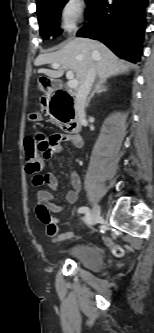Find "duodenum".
Returning <instances> with one entry per match:
<instances>
[{
  "label": "duodenum",
  "mask_w": 154,
  "mask_h": 333,
  "mask_svg": "<svg viewBox=\"0 0 154 333\" xmlns=\"http://www.w3.org/2000/svg\"><path fill=\"white\" fill-rule=\"evenodd\" d=\"M48 89H49L50 93H48L47 95L52 96V97H55L59 92L64 91L61 83L58 81L49 82ZM64 92H66V91H64ZM73 104H74V98L70 95L69 103L66 106L60 104L59 108L52 107L51 114L55 118L59 117V116H62L64 118H69L68 127L71 128L70 133L74 136H78L79 135V120L74 117L70 118V114L73 112Z\"/></svg>",
  "instance_id": "1"
}]
</instances>
